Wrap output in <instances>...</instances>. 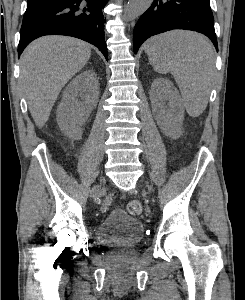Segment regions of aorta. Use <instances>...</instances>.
<instances>
[{"mask_svg": "<svg viewBox=\"0 0 245 300\" xmlns=\"http://www.w3.org/2000/svg\"><path fill=\"white\" fill-rule=\"evenodd\" d=\"M153 0H129L124 12V20L132 21L142 15Z\"/></svg>", "mask_w": 245, "mask_h": 300, "instance_id": "aorta-1", "label": "aorta"}]
</instances>
